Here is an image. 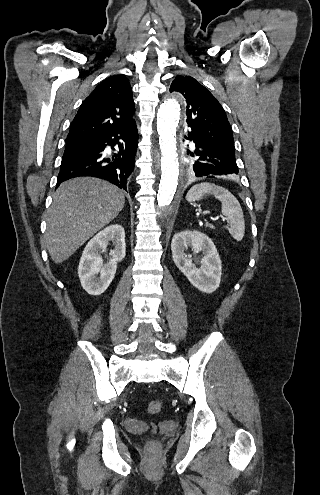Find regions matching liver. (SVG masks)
Segmentation results:
<instances>
[{"instance_id": "6515ba94", "label": "liver", "mask_w": 320, "mask_h": 495, "mask_svg": "<svg viewBox=\"0 0 320 495\" xmlns=\"http://www.w3.org/2000/svg\"><path fill=\"white\" fill-rule=\"evenodd\" d=\"M124 193L96 178L77 177L63 182L48 211L44 240L55 263L67 260L93 234L123 209Z\"/></svg>"}]
</instances>
